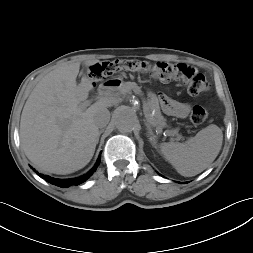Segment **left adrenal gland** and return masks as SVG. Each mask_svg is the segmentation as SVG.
<instances>
[{
    "label": "left adrenal gland",
    "instance_id": "left-adrenal-gland-1",
    "mask_svg": "<svg viewBox=\"0 0 253 253\" xmlns=\"http://www.w3.org/2000/svg\"><path fill=\"white\" fill-rule=\"evenodd\" d=\"M145 125H146V127H147L148 134H149V135H153L151 125L149 124L148 121H145Z\"/></svg>",
    "mask_w": 253,
    "mask_h": 253
}]
</instances>
